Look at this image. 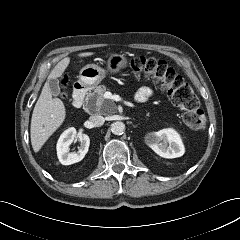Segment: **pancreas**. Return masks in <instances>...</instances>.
Returning <instances> with one entry per match:
<instances>
[{
  "label": "pancreas",
  "mask_w": 240,
  "mask_h": 240,
  "mask_svg": "<svg viewBox=\"0 0 240 240\" xmlns=\"http://www.w3.org/2000/svg\"><path fill=\"white\" fill-rule=\"evenodd\" d=\"M107 91V87L104 85H99L94 88L93 92H90L86 97V107L87 109L92 108L96 112H105L106 106L110 105L114 107L113 101L106 100L104 98V93ZM95 106V108H93Z\"/></svg>",
  "instance_id": "obj_1"
}]
</instances>
